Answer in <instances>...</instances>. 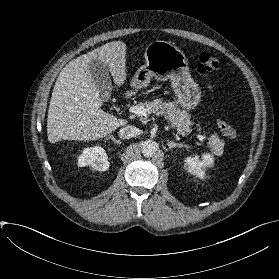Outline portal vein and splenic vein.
I'll return each mask as SVG.
<instances>
[{"label": "portal vein and splenic vein", "instance_id": "portal-vein-and-splenic-vein-1", "mask_svg": "<svg viewBox=\"0 0 279 279\" xmlns=\"http://www.w3.org/2000/svg\"><path fill=\"white\" fill-rule=\"evenodd\" d=\"M130 111L138 116H146L147 115V110L146 108H144L143 106L141 105H135V106H132L130 108ZM197 138L201 141V142H204L205 141V137L203 135H200V134H197L196 135Z\"/></svg>", "mask_w": 279, "mask_h": 279}]
</instances>
